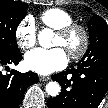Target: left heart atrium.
<instances>
[{
  "label": "left heart atrium",
  "instance_id": "obj_1",
  "mask_svg": "<svg viewBox=\"0 0 108 108\" xmlns=\"http://www.w3.org/2000/svg\"><path fill=\"white\" fill-rule=\"evenodd\" d=\"M66 52L61 47L52 49L37 48L25 55V65L31 71L48 75L63 69L67 65Z\"/></svg>",
  "mask_w": 108,
  "mask_h": 108
}]
</instances>
